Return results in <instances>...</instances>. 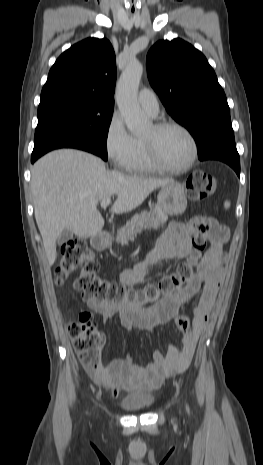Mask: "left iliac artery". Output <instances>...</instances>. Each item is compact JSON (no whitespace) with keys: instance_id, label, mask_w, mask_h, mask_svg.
I'll list each match as a JSON object with an SVG mask.
<instances>
[{"instance_id":"1","label":"left iliac artery","mask_w":263,"mask_h":465,"mask_svg":"<svg viewBox=\"0 0 263 465\" xmlns=\"http://www.w3.org/2000/svg\"><path fill=\"white\" fill-rule=\"evenodd\" d=\"M186 409H187V411H188V413H189V407H188V406L186 407Z\"/></svg>"}]
</instances>
